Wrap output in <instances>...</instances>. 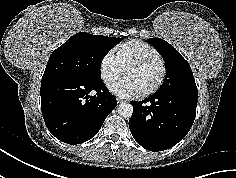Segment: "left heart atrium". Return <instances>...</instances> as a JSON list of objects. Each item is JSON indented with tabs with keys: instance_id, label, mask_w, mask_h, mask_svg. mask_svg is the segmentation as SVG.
Returning <instances> with one entry per match:
<instances>
[{
	"instance_id": "left-heart-atrium-1",
	"label": "left heart atrium",
	"mask_w": 236,
	"mask_h": 178,
	"mask_svg": "<svg viewBox=\"0 0 236 178\" xmlns=\"http://www.w3.org/2000/svg\"><path fill=\"white\" fill-rule=\"evenodd\" d=\"M111 91L119 96L129 97V96H136L140 94L139 89L135 86V84L127 79L124 78L116 83H114L110 87Z\"/></svg>"
}]
</instances>
